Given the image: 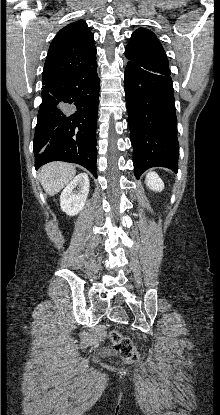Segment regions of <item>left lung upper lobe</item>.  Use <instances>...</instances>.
I'll return each instance as SVG.
<instances>
[{
  "instance_id": "5c2ea615",
  "label": "left lung upper lobe",
  "mask_w": 220,
  "mask_h": 415,
  "mask_svg": "<svg viewBox=\"0 0 220 415\" xmlns=\"http://www.w3.org/2000/svg\"><path fill=\"white\" fill-rule=\"evenodd\" d=\"M125 56L130 61L169 67L165 51L156 35L144 28H139L132 34Z\"/></svg>"
}]
</instances>
